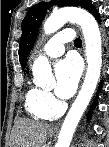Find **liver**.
<instances>
[{"instance_id": "liver-1", "label": "liver", "mask_w": 109, "mask_h": 147, "mask_svg": "<svg viewBox=\"0 0 109 147\" xmlns=\"http://www.w3.org/2000/svg\"><path fill=\"white\" fill-rule=\"evenodd\" d=\"M48 130V124L19 118L12 128L9 147H43Z\"/></svg>"}]
</instances>
